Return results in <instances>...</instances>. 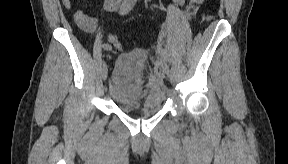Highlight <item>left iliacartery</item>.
Masks as SVG:
<instances>
[{
	"label": "left iliac artery",
	"instance_id": "1",
	"mask_svg": "<svg viewBox=\"0 0 288 164\" xmlns=\"http://www.w3.org/2000/svg\"><path fill=\"white\" fill-rule=\"evenodd\" d=\"M161 58L164 60L166 58V52L165 51H162L161 53Z\"/></svg>",
	"mask_w": 288,
	"mask_h": 164
}]
</instances>
